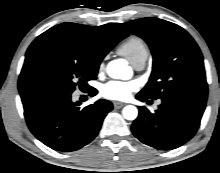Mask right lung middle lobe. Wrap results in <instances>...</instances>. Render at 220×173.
Wrapping results in <instances>:
<instances>
[{
    "instance_id": "right-lung-middle-lobe-1",
    "label": "right lung middle lobe",
    "mask_w": 220,
    "mask_h": 173,
    "mask_svg": "<svg viewBox=\"0 0 220 173\" xmlns=\"http://www.w3.org/2000/svg\"><path fill=\"white\" fill-rule=\"evenodd\" d=\"M99 64L84 59L62 46L55 48L39 64L36 71L38 88L72 93L77 85L96 79Z\"/></svg>"
}]
</instances>
